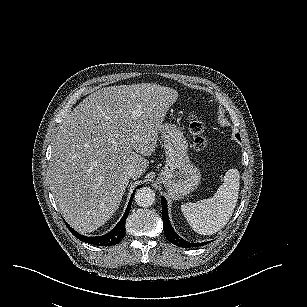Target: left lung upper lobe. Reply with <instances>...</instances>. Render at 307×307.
Wrapping results in <instances>:
<instances>
[{
	"mask_svg": "<svg viewBox=\"0 0 307 307\" xmlns=\"http://www.w3.org/2000/svg\"><path fill=\"white\" fill-rule=\"evenodd\" d=\"M236 137H237L239 140H241V139H240V135H239V134H236Z\"/></svg>",
	"mask_w": 307,
	"mask_h": 307,
	"instance_id": "obj_1",
	"label": "left lung upper lobe"
}]
</instances>
